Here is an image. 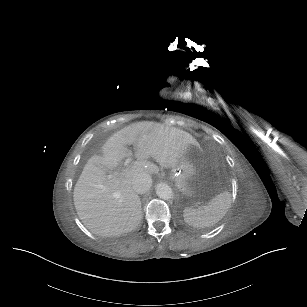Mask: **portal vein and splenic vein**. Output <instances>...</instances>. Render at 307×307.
<instances>
[{"mask_svg": "<svg viewBox=\"0 0 307 307\" xmlns=\"http://www.w3.org/2000/svg\"><path fill=\"white\" fill-rule=\"evenodd\" d=\"M132 163V160L130 158H125L124 162L122 163L123 167H126L127 165H130Z\"/></svg>", "mask_w": 307, "mask_h": 307, "instance_id": "1", "label": "portal vein and splenic vein"}]
</instances>
